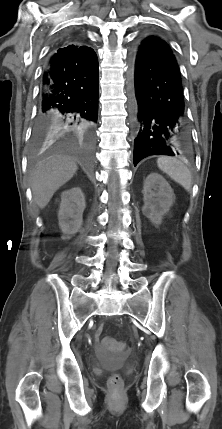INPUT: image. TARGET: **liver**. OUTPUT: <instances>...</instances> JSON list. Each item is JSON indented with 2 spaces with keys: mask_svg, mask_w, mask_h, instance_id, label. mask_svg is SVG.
Wrapping results in <instances>:
<instances>
[{
  "mask_svg": "<svg viewBox=\"0 0 222 429\" xmlns=\"http://www.w3.org/2000/svg\"><path fill=\"white\" fill-rule=\"evenodd\" d=\"M78 166L68 156H51L38 163L31 173V190L36 205L43 209L53 194L76 173Z\"/></svg>",
  "mask_w": 222,
  "mask_h": 429,
  "instance_id": "1",
  "label": "liver"
}]
</instances>
